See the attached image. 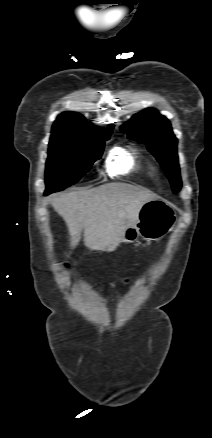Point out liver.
Here are the masks:
<instances>
[{"label":"liver","mask_w":212,"mask_h":438,"mask_svg":"<svg viewBox=\"0 0 212 438\" xmlns=\"http://www.w3.org/2000/svg\"><path fill=\"white\" fill-rule=\"evenodd\" d=\"M154 199H158L155 194L132 185L110 183L54 195L50 204L66 222L72 249L83 231L87 248L106 251L123 242L126 229L138 220L141 207Z\"/></svg>","instance_id":"liver-1"}]
</instances>
